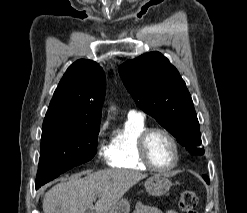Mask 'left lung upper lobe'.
Here are the masks:
<instances>
[{
	"label": "left lung upper lobe",
	"mask_w": 247,
	"mask_h": 213,
	"mask_svg": "<svg viewBox=\"0 0 247 213\" xmlns=\"http://www.w3.org/2000/svg\"><path fill=\"white\" fill-rule=\"evenodd\" d=\"M119 73L139 108L154 117L190 154H204L190 93L166 57L159 52L143 54L123 63Z\"/></svg>",
	"instance_id": "left-lung-upper-lobe-1"
}]
</instances>
